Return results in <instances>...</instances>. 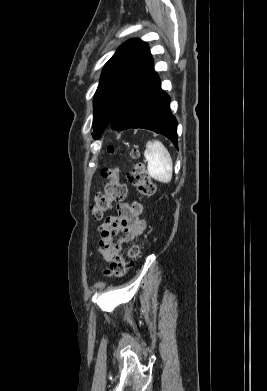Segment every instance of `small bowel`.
<instances>
[{"label": "small bowel", "mask_w": 267, "mask_h": 391, "mask_svg": "<svg viewBox=\"0 0 267 391\" xmlns=\"http://www.w3.org/2000/svg\"><path fill=\"white\" fill-rule=\"evenodd\" d=\"M117 209L119 217H109L100 226L98 251L107 262L120 255L122 244L133 241L146 228V222L140 218L142 205L139 202L120 203ZM120 233L123 235L115 242L114 237Z\"/></svg>", "instance_id": "obj_1"}]
</instances>
